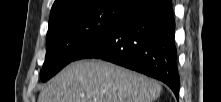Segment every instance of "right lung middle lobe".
<instances>
[{"label": "right lung middle lobe", "mask_w": 221, "mask_h": 102, "mask_svg": "<svg viewBox=\"0 0 221 102\" xmlns=\"http://www.w3.org/2000/svg\"><path fill=\"white\" fill-rule=\"evenodd\" d=\"M135 7L130 0H84L49 19L46 60L41 80L47 81L94 41L117 25Z\"/></svg>", "instance_id": "dd1d6c3e"}]
</instances>
